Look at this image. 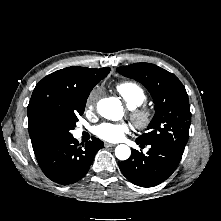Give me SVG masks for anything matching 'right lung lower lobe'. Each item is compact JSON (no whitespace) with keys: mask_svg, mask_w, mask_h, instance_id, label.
<instances>
[{"mask_svg":"<svg viewBox=\"0 0 221 221\" xmlns=\"http://www.w3.org/2000/svg\"><path fill=\"white\" fill-rule=\"evenodd\" d=\"M103 142L95 137L80 146L73 136L59 139L47 151L36 157L43 173L52 181L68 185L77 182L88 172Z\"/></svg>","mask_w":221,"mask_h":221,"instance_id":"obj_1","label":"right lung lower lobe"}]
</instances>
